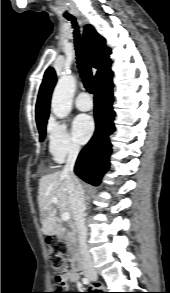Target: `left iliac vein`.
Wrapping results in <instances>:
<instances>
[{"mask_svg": "<svg viewBox=\"0 0 170 293\" xmlns=\"http://www.w3.org/2000/svg\"><path fill=\"white\" fill-rule=\"evenodd\" d=\"M92 280H93V281H96V280H97V277L92 278Z\"/></svg>", "mask_w": 170, "mask_h": 293, "instance_id": "left-iliac-vein-1", "label": "left iliac vein"}]
</instances>
